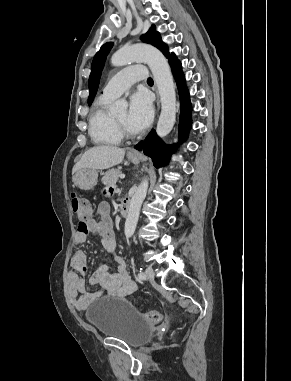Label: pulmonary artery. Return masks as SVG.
Masks as SVG:
<instances>
[{
  "label": "pulmonary artery",
  "instance_id": "obj_1",
  "mask_svg": "<svg viewBox=\"0 0 291 381\" xmlns=\"http://www.w3.org/2000/svg\"><path fill=\"white\" fill-rule=\"evenodd\" d=\"M147 77V70L143 65H132L126 67L115 74L105 85L102 95L105 98H117L135 82L144 80Z\"/></svg>",
  "mask_w": 291,
  "mask_h": 381
}]
</instances>
